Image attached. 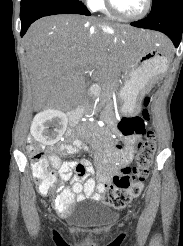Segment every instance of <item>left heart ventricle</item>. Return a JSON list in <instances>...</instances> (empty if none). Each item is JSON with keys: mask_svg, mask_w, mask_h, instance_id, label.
<instances>
[{"mask_svg": "<svg viewBox=\"0 0 183 246\" xmlns=\"http://www.w3.org/2000/svg\"><path fill=\"white\" fill-rule=\"evenodd\" d=\"M146 0H113L117 10L127 16H134L139 14L144 6Z\"/></svg>", "mask_w": 183, "mask_h": 246, "instance_id": "1", "label": "left heart ventricle"}]
</instances>
